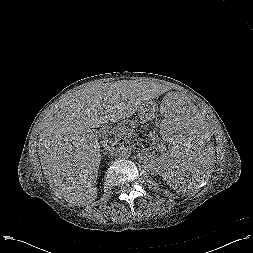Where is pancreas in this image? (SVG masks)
<instances>
[{
  "instance_id": "1",
  "label": "pancreas",
  "mask_w": 253,
  "mask_h": 253,
  "mask_svg": "<svg viewBox=\"0 0 253 253\" xmlns=\"http://www.w3.org/2000/svg\"><path fill=\"white\" fill-rule=\"evenodd\" d=\"M127 125L134 127L137 125V122L136 121H125L123 123H120L116 127H113L111 129H107L106 133H107V135L113 137L115 140L128 137L131 134V129Z\"/></svg>"
}]
</instances>
